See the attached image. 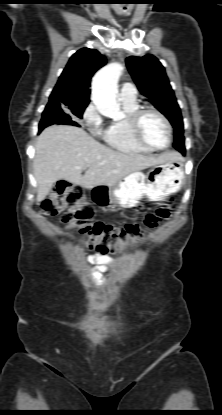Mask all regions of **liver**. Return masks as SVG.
I'll return each mask as SVG.
<instances>
[{
  "instance_id": "1",
  "label": "liver",
  "mask_w": 222,
  "mask_h": 415,
  "mask_svg": "<svg viewBox=\"0 0 222 415\" xmlns=\"http://www.w3.org/2000/svg\"><path fill=\"white\" fill-rule=\"evenodd\" d=\"M176 151L160 155L124 153L102 145L83 129L52 125L37 138L33 161L38 184L37 202L49 194L53 184L65 179L86 189L113 186L131 173L157 164L180 159ZM87 168L84 175L82 170Z\"/></svg>"
}]
</instances>
